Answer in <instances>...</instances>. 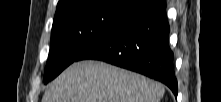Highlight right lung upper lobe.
<instances>
[{
	"label": "right lung upper lobe",
	"instance_id": "1",
	"mask_svg": "<svg viewBox=\"0 0 221 102\" xmlns=\"http://www.w3.org/2000/svg\"><path fill=\"white\" fill-rule=\"evenodd\" d=\"M84 1L86 0H59L57 4L56 14H59L64 11L70 10L74 7H77ZM126 1L129 3V5L135 7L137 10H140L146 5L153 2L154 0H126Z\"/></svg>",
	"mask_w": 221,
	"mask_h": 102
}]
</instances>
